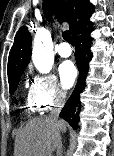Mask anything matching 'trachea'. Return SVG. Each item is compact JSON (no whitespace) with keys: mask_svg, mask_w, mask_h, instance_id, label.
Masks as SVG:
<instances>
[{"mask_svg":"<svg viewBox=\"0 0 114 156\" xmlns=\"http://www.w3.org/2000/svg\"><path fill=\"white\" fill-rule=\"evenodd\" d=\"M62 36L67 42H69L70 44H74L73 38L68 30L62 32Z\"/></svg>","mask_w":114,"mask_h":156,"instance_id":"trachea-1","label":"trachea"}]
</instances>
